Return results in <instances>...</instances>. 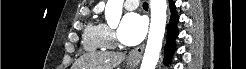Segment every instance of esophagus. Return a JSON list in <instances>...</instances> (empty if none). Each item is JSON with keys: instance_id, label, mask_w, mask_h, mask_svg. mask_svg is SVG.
I'll list each match as a JSON object with an SVG mask.
<instances>
[{"instance_id": "obj_1", "label": "esophagus", "mask_w": 246, "mask_h": 69, "mask_svg": "<svg viewBox=\"0 0 246 69\" xmlns=\"http://www.w3.org/2000/svg\"><path fill=\"white\" fill-rule=\"evenodd\" d=\"M144 51V45L138 46L129 52L128 59L132 62L139 63Z\"/></svg>"}]
</instances>
